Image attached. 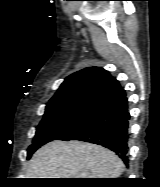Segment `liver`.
<instances>
[{
  "instance_id": "liver-1",
  "label": "liver",
  "mask_w": 160,
  "mask_h": 187,
  "mask_svg": "<svg viewBox=\"0 0 160 187\" xmlns=\"http://www.w3.org/2000/svg\"><path fill=\"white\" fill-rule=\"evenodd\" d=\"M122 160L92 143L54 140L38 149L30 160L27 178H117Z\"/></svg>"
}]
</instances>
